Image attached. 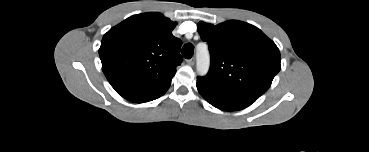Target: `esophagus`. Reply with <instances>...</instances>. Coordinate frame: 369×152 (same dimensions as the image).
I'll list each match as a JSON object with an SVG mask.
<instances>
[{
    "label": "esophagus",
    "instance_id": "1",
    "mask_svg": "<svg viewBox=\"0 0 369 152\" xmlns=\"http://www.w3.org/2000/svg\"><path fill=\"white\" fill-rule=\"evenodd\" d=\"M187 64L193 66L195 64V57H192L191 59L187 60Z\"/></svg>",
    "mask_w": 369,
    "mask_h": 152
}]
</instances>
